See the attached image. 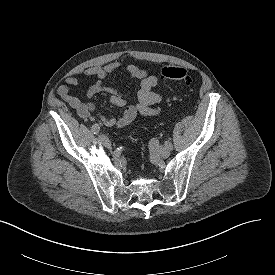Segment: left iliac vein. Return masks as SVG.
Wrapping results in <instances>:
<instances>
[{
  "label": "left iliac vein",
  "instance_id": "obj_1",
  "mask_svg": "<svg viewBox=\"0 0 275 275\" xmlns=\"http://www.w3.org/2000/svg\"><path fill=\"white\" fill-rule=\"evenodd\" d=\"M156 152L162 158H167L170 155V150L164 146H158Z\"/></svg>",
  "mask_w": 275,
  "mask_h": 275
}]
</instances>
